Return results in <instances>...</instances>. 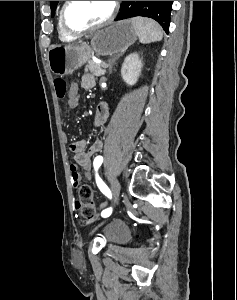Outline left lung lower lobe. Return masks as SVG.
Returning <instances> with one entry per match:
<instances>
[{
    "label": "left lung lower lobe",
    "mask_w": 237,
    "mask_h": 300,
    "mask_svg": "<svg viewBox=\"0 0 237 300\" xmlns=\"http://www.w3.org/2000/svg\"><path fill=\"white\" fill-rule=\"evenodd\" d=\"M164 3H165V5H171L172 6V1H165Z\"/></svg>",
    "instance_id": "left-lung-lower-lobe-1"
}]
</instances>
